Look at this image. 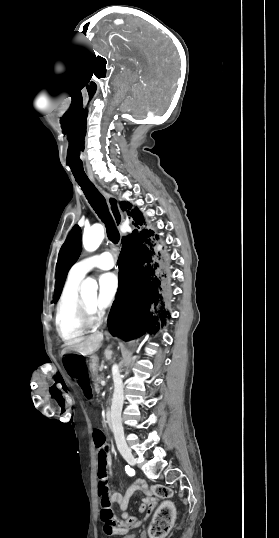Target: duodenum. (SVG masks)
<instances>
[{"label":"duodenum","mask_w":279,"mask_h":538,"mask_svg":"<svg viewBox=\"0 0 279 538\" xmlns=\"http://www.w3.org/2000/svg\"><path fill=\"white\" fill-rule=\"evenodd\" d=\"M98 369H99V366L97 364H94L92 366V373H97ZM110 414H111V409H106L105 418H107L106 419V422L108 423L107 427L109 429H112L114 427V424L112 423L113 419L110 417Z\"/></svg>","instance_id":"410a0bca"}]
</instances>
